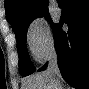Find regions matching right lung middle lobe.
I'll return each instance as SVG.
<instances>
[{
  "mask_svg": "<svg viewBox=\"0 0 89 89\" xmlns=\"http://www.w3.org/2000/svg\"><path fill=\"white\" fill-rule=\"evenodd\" d=\"M44 16L48 19L52 25V28L55 26L52 23L51 18L48 14V11L45 10L41 13H38L34 16L28 17L20 22H18L14 27V33L17 40V51L19 56V69L20 73L23 77L32 74L35 71V67L33 66L32 62L30 61L27 47H26V36H27V29L29 24L37 17Z\"/></svg>",
  "mask_w": 89,
  "mask_h": 89,
  "instance_id": "1",
  "label": "right lung middle lobe"
}]
</instances>
